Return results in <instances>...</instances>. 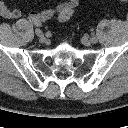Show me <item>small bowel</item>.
<instances>
[{"mask_svg":"<svg viewBox=\"0 0 128 128\" xmlns=\"http://www.w3.org/2000/svg\"><path fill=\"white\" fill-rule=\"evenodd\" d=\"M79 0H66L62 3L56 4L52 7H48L41 11H31L28 15V19L35 25H40L42 22H45L52 18L55 14L66 7L75 8L77 7ZM0 16L7 19H18L21 17V11L17 8H9L5 4L4 0H0Z\"/></svg>","mask_w":128,"mask_h":128,"instance_id":"obj_1","label":"small bowel"}]
</instances>
